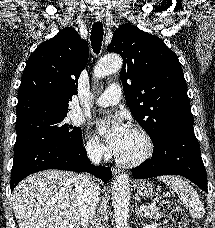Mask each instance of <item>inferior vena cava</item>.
Instances as JSON below:
<instances>
[{
    "label": "inferior vena cava",
    "mask_w": 215,
    "mask_h": 228,
    "mask_svg": "<svg viewBox=\"0 0 215 228\" xmlns=\"http://www.w3.org/2000/svg\"><path fill=\"white\" fill-rule=\"evenodd\" d=\"M86 152L90 162L98 166L102 160V150L100 148H93V146H87ZM74 182L81 220L84 222L86 228H89V220L95 214L97 204L100 200V188L98 184L92 182L91 176H85V174L75 176Z\"/></svg>",
    "instance_id": "inferior-vena-cava-1"
}]
</instances>
